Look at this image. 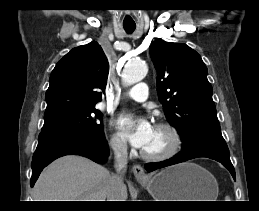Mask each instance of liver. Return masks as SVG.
<instances>
[{
    "label": "liver",
    "mask_w": 259,
    "mask_h": 211,
    "mask_svg": "<svg viewBox=\"0 0 259 211\" xmlns=\"http://www.w3.org/2000/svg\"><path fill=\"white\" fill-rule=\"evenodd\" d=\"M112 175L103 166L75 155L52 162L39 176L34 201H106ZM126 201V185L120 190Z\"/></svg>",
    "instance_id": "1"
}]
</instances>
